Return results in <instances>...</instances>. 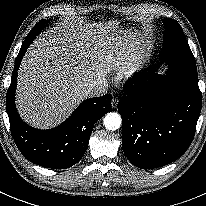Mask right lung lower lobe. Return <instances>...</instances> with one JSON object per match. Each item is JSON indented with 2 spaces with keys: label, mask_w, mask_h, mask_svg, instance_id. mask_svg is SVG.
Segmentation results:
<instances>
[{
  "label": "right lung lower lobe",
  "mask_w": 206,
  "mask_h": 206,
  "mask_svg": "<svg viewBox=\"0 0 206 206\" xmlns=\"http://www.w3.org/2000/svg\"><path fill=\"white\" fill-rule=\"evenodd\" d=\"M39 29L31 31L16 57L11 84L6 95V110L12 137L23 156L30 162L51 169H66L83 157L95 122L110 111L111 95L85 100L72 115L59 126L35 129L20 118L15 106L17 71L23 55Z\"/></svg>",
  "instance_id": "1"
}]
</instances>
